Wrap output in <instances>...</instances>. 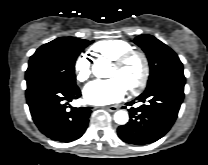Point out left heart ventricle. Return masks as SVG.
Segmentation results:
<instances>
[{
  "label": "left heart ventricle",
  "mask_w": 208,
  "mask_h": 165,
  "mask_svg": "<svg viewBox=\"0 0 208 165\" xmlns=\"http://www.w3.org/2000/svg\"><path fill=\"white\" fill-rule=\"evenodd\" d=\"M142 75V62L139 58L134 57L130 59L123 67L116 68L111 65L108 72V77L119 78L126 89L134 86L141 78Z\"/></svg>",
  "instance_id": "b2bd125f"
}]
</instances>
